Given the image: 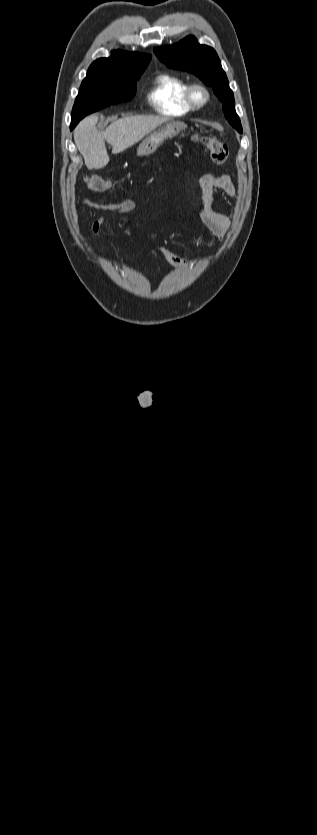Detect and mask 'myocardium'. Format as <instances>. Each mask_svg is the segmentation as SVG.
<instances>
[{"label":"myocardium","mask_w":317,"mask_h":835,"mask_svg":"<svg viewBox=\"0 0 317 835\" xmlns=\"http://www.w3.org/2000/svg\"><path fill=\"white\" fill-rule=\"evenodd\" d=\"M198 93L202 95L201 98L197 96ZM185 98L192 109H200L210 100V91L207 86L202 83H191L186 89Z\"/></svg>","instance_id":"obj_1"}]
</instances>
